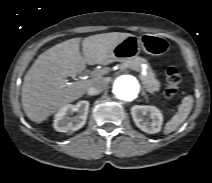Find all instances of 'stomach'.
Masks as SVG:
<instances>
[{
    "label": "stomach",
    "instance_id": "1",
    "mask_svg": "<svg viewBox=\"0 0 212 183\" xmlns=\"http://www.w3.org/2000/svg\"><path fill=\"white\" fill-rule=\"evenodd\" d=\"M170 48V42L161 35L149 33L140 37L131 35L110 50L107 61L124 62L136 57L141 50L152 56H161L166 54Z\"/></svg>",
    "mask_w": 212,
    "mask_h": 183
}]
</instances>
